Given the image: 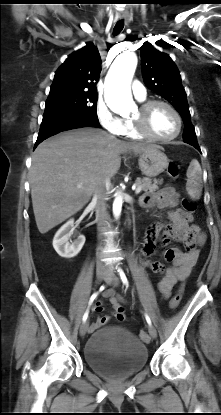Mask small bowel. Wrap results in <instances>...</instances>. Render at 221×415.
<instances>
[{"mask_svg":"<svg viewBox=\"0 0 221 415\" xmlns=\"http://www.w3.org/2000/svg\"><path fill=\"white\" fill-rule=\"evenodd\" d=\"M141 204L147 208L168 211L171 221L168 225L160 223L152 225L148 229L141 246V254L144 258L142 265L153 272L164 273L163 278L157 285V290L164 297H168L174 285L189 275L198 259L200 247L204 244L205 238L196 227L188 226L192 221V215L187 207H178L179 195L173 188L166 187L156 192L147 193L142 197ZM158 239L160 245L166 248L164 257L166 262L171 264L169 267H166L162 262L148 259L154 253ZM173 241L183 243L186 250L167 248ZM103 296L108 300L112 313L97 317L90 326L92 330L105 325L112 318L118 321H123L125 318L122 298L112 289L105 291ZM103 309L104 306L101 301L94 306L96 312H102Z\"/></svg>","mask_w":221,"mask_h":415,"instance_id":"c3829d8e","label":"small bowel"}]
</instances>
